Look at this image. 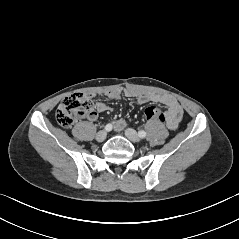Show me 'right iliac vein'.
Masks as SVG:
<instances>
[{
	"label": "right iliac vein",
	"instance_id": "obj_1",
	"mask_svg": "<svg viewBox=\"0 0 239 239\" xmlns=\"http://www.w3.org/2000/svg\"><path fill=\"white\" fill-rule=\"evenodd\" d=\"M106 136H107V132L102 130V131H99L97 134H96V140L98 142H103L105 139H106Z\"/></svg>",
	"mask_w": 239,
	"mask_h": 239
}]
</instances>
